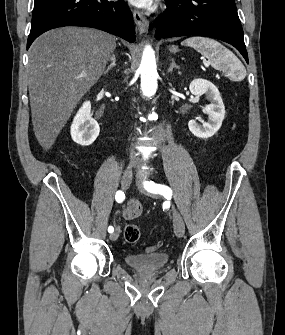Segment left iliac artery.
<instances>
[{"mask_svg":"<svg viewBox=\"0 0 285 335\" xmlns=\"http://www.w3.org/2000/svg\"><path fill=\"white\" fill-rule=\"evenodd\" d=\"M144 187L148 192H151L154 194H161L164 196L172 195V190L168 186L162 185V184H156L153 181L145 182Z\"/></svg>","mask_w":285,"mask_h":335,"instance_id":"obj_1","label":"left iliac artery"}]
</instances>
